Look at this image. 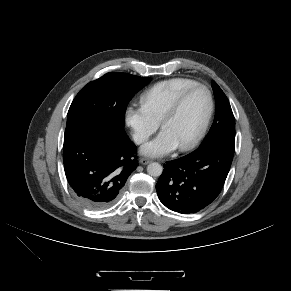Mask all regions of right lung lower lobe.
Segmentation results:
<instances>
[{"instance_id": "98d812e1", "label": "right lung lower lobe", "mask_w": 291, "mask_h": 291, "mask_svg": "<svg viewBox=\"0 0 291 291\" xmlns=\"http://www.w3.org/2000/svg\"><path fill=\"white\" fill-rule=\"evenodd\" d=\"M135 153L123 127L96 122L66 126V178L74 195L90 209H104L117 200L137 167Z\"/></svg>"}]
</instances>
